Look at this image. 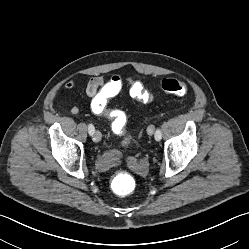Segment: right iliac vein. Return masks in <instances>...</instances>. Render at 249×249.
I'll return each instance as SVG.
<instances>
[{
    "label": "right iliac vein",
    "mask_w": 249,
    "mask_h": 249,
    "mask_svg": "<svg viewBox=\"0 0 249 249\" xmlns=\"http://www.w3.org/2000/svg\"><path fill=\"white\" fill-rule=\"evenodd\" d=\"M92 139H93L94 142H100L101 139H102L101 133L99 131H95L93 133Z\"/></svg>",
    "instance_id": "63e3f726"
}]
</instances>
